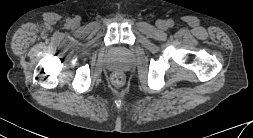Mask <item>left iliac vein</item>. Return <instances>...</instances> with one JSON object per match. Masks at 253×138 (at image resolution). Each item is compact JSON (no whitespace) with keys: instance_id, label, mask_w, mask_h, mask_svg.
<instances>
[{"instance_id":"left-iliac-vein-1","label":"left iliac vein","mask_w":253,"mask_h":138,"mask_svg":"<svg viewBox=\"0 0 253 138\" xmlns=\"http://www.w3.org/2000/svg\"><path fill=\"white\" fill-rule=\"evenodd\" d=\"M157 26H158V28H160V29H166V28H167V23H166V21H164V20H159V21L157 22Z\"/></svg>"}]
</instances>
